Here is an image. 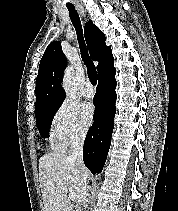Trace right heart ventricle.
I'll use <instances>...</instances> for the list:
<instances>
[{"label": "right heart ventricle", "instance_id": "1", "mask_svg": "<svg viewBox=\"0 0 178 211\" xmlns=\"http://www.w3.org/2000/svg\"><path fill=\"white\" fill-rule=\"evenodd\" d=\"M54 146L56 148H62L61 145L56 140H54Z\"/></svg>", "mask_w": 178, "mask_h": 211}]
</instances>
